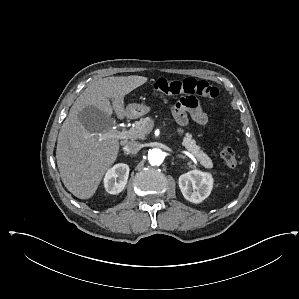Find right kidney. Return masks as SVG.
Returning a JSON list of instances; mask_svg holds the SVG:
<instances>
[{"label": "right kidney", "instance_id": "right-kidney-1", "mask_svg": "<svg viewBox=\"0 0 299 299\" xmlns=\"http://www.w3.org/2000/svg\"><path fill=\"white\" fill-rule=\"evenodd\" d=\"M129 166L124 163L114 165L104 177V187L110 194L120 193L127 184Z\"/></svg>", "mask_w": 299, "mask_h": 299}]
</instances>
